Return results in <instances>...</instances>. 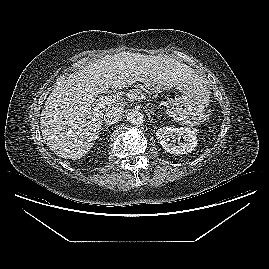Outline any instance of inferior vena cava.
<instances>
[{"label": "inferior vena cava", "instance_id": "1", "mask_svg": "<svg viewBox=\"0 0 269 269\" xmlns=\"http://www.w3.org/2000/svg\"><path fill=\"white\" fill-rule=\"evenodd\" d=\"M124 109L122 107L108 108L104 114V122L107 125H113L119 121Z\"/></svg>", "mask_w": 269, "mask_h": 269}]
</instances>
